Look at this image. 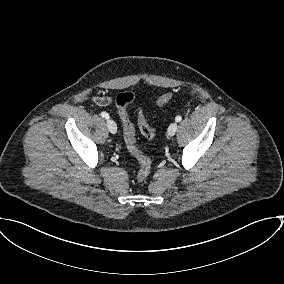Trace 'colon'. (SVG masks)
I'll list each match as a JSON object with an SVG mask.
<instances>
[{
  "label": "colon",
  "mask_w": 284,
  "mask_h": 284,
  "mask_svg": "<svg viewBox=\"0 0 284 284\" xmlns=\"http://www.w3.org/2000/svg\"><path fill=\"white\" fill-rule=\"evenodd\" d=\"M172 93H165L159 97L157 105L162 107L166 105L172 98ZM136 97L132 92L121 93L117 97L118 113L123 125L124 140L130 154L138 161L139 169L137 172V179L143 181L147 178L151 171L152 162L151 159L143 153L138 146L134 137V128L130 121L128 105L135 102ZM138 125L141 133L148 139H152L156 136V131L152 128L144 115L141 107H138Z\"/></svg>",
  "instance_id": "colon-1"
}]
</instances>
